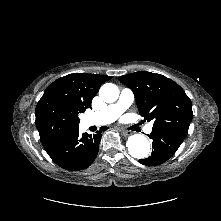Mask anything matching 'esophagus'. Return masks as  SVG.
<instances>
[{"instance_id": "1", "label": "esophagus", "mask_w": 221, "mask_h": 221, "mask_svg": "<svg viewBox=\"0 0 221 221\" xmlns=\"http://www.w3.org/2000/svg\"><path fill=\"white\" fill-rule=\"evenodd\" d=\"M121 132L125 135V136H129L132 134L131 131L125 130V129H121Z\"/></svg>"}]
</instances>
